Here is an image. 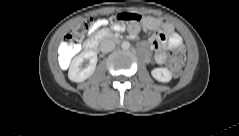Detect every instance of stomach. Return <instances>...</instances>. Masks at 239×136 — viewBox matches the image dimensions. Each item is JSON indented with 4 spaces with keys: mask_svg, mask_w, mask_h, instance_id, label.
Listing matches in <instances>:
<instances>
[{
    "mask_svg": "<svg viewBox=\"0 0 239 136\" xmlns=\"http://www.w3.org/2000/svg\"><path fill=\"white\" fill-rule=\"evenodd\" d=\"M142 21V13H132L131 11H122V13H116L117 23H141Z\"/></svg>",
    "mask_w": 239,
    "mask_h": 136,
    "instance_id": "obj_1",
    "label": "stomach"
}]
</instances>
